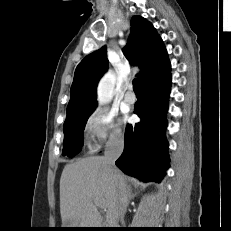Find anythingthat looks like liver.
Masks as SVG:
<instances>
[{
    "label": "liver",
    "instance_id": "liver-1",
    "mask_svg": "<svg viewBox=\"0 0 231 231\" xmlns=\"http://www.w3.org/2000/svg\"><path fill=\"white\" fill-rule=\"evenodd\" d=\"M126 189L125 177L111 174L102 156H90L67 164L60 178V213L63 226L99 228L102 218L93 198H99L110 226L117 223V185Z\"/></svg>",
    "mask_w": 231,
    "mask_h": 231
}]
</instances>
